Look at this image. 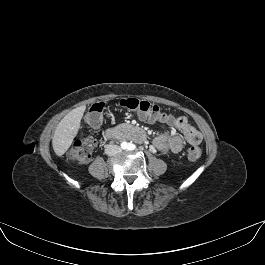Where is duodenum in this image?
<instances>
[{
  "instance_id": "1",
  "label": "duodenum",
  "mask_w": 265,
  "mask_h": 265,
  "mask_svg": "<svg viewBox=\"0 0 265 265\" xmlns=\"http://www.w3.org/2000/svg\"><path fill=\"white\" fill-rule=\"evenodd\" d=\"M106 139H116L120 141L133 140L137 142L145 141L143 129L136 126L131 127H109L104 132Z\"/></svg>"
}]
</instances>
